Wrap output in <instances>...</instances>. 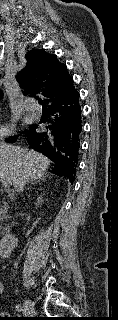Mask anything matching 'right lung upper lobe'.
<instances>
[{
	"mask_svg": "<svg viewBox=\"0 0 118 320\" xmlns=\"http://www.w3.org/2000/svg\"><path fill=\"white\" fill-rule=\"evenodd\" d=\"M26 59V67L17 77L28 93L41 94L45 97V102L49 103L74 87L66 65L60 63L56 55L49 54L43 49H33L26 54Z\"/></svg>",
	"mask_w": 118,
	"mask_h": 320,
	"instance_id": "right-lung-upper-lobe-1",
	"label": "right lung upper lobe"
}]
</instances>
